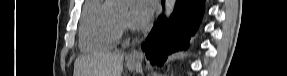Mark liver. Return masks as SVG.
<instances>
[{
	"mask_svg": "<svg viewBox=\"0 0 287 76\" xmlns=\"http://www.w3.org/2000/svg\"><path fill=\"white\" fill-rule=\"evenodd\" d=\"M124 53L101 51L75 61V76H121Z\"/></svg>",
	"mask_w": 287,
	"mask_h": 76,
	"instance_id": "obj_1",
	"label": "liver"
}]
</instances>
